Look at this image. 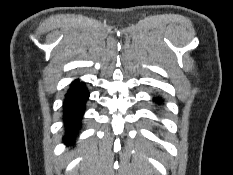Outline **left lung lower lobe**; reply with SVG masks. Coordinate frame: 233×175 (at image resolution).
<instances>
[{"instance_id": "0a47b994", "label": "left lung lower lobe", "mask_w": 233, "mask_h": 175, "mask_svg": "<svg viewBox=\"0 0 233 175\" xmlns=\"http://www.w3.org/2000/svg\"><path fill=\"white\" fill-rule=\"evenodd\" d=\"M153 101L157 104H161L162 103V98H160L159 96H155L153 97Z\"/></svg>"}]
</instances>
